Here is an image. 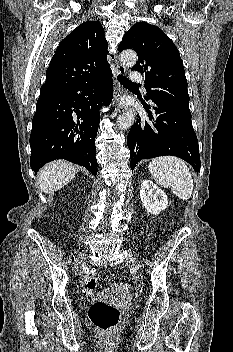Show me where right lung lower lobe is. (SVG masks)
<instances>
[{"label":"right lung lower lobe","instance_id":"right-lung-lower-lobe-1","mask_svg":"<svg viewBox=\"0 0 233 352\" xmlns=\"http://www.w3.org/2000/svg\"><path fill=\"white\" fill-rule=\"evenodd\" d=\"M112 71L77 83L66 91L40 95L30 135V165L37 172L46 163L66 159L97 174L94 144L100 109L112 99Z\"/></svg>","mask_w":233,"mask_h":352}]
</instances>
